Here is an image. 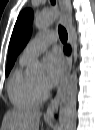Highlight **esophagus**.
Segmentation results:
<instances>
[{"label": "esophagus", "instance_id": "34e87169", "mask_svg": "<svg viewBox=\"0 0 95 130\" xmlns=\"http://www.w3.org/2000/svg\"><path fill=\"white\" fill-rule=\"evenodd\" d=\"M59 7L61 10V23L63 26L66 28L67 33H68V42L71 45L72 44V35H71V17H70V8H69V1L67 0H59ZM72 69V55H69L66 57V66L64 70V74L61 80V83L57 89L56 96L54 99H52L50 105L48 106L44 118L45 120H52L54 113L57 112L58 106L60 104L61 100V95H62V90H63V85L67 81L70 72Z\"/></svg>", "mask_w": 95, "mask_h": 130}]
</instances>
